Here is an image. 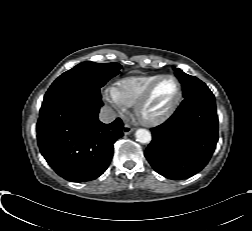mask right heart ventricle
Masks as SVG:
<instances>
[{"instance_id": "1", "label": "right heart ventricle", "mask_w": 252, "mask_h": 231, "mask_svg": "<svg viewBox=\"0 0 252 231\" xmlns=\"http://www.w3.org/2000/svg\"><path fill=\"white\" fill-rule=\"evenodd\" d=\"M159 76L161 75L143 74L122 78L115 84L117 97L126 106H134L149 85Z\"/></svg>"}]
</instances>
